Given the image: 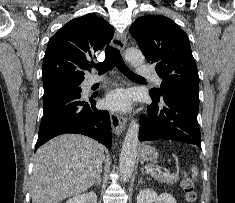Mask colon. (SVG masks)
<instances>
[{
    "label": "colon",
    "mask_w": 235,
    "mask_h": 203,
    "mask_svg": "<svg viewBox=\"0 0 235 203\" xmlns=\"http://www.w3.org/2000/svg\"><path fill=\"white\" fill-rule=\"evenodd\" d=\"M182 187L185 191V197L189 202H192L196 199V193L194 190V184L192 180L188 177H184L182 181Z\"/></svg>",
    "instance_id": "1"
}]
</instances>
